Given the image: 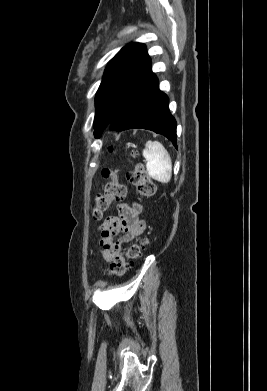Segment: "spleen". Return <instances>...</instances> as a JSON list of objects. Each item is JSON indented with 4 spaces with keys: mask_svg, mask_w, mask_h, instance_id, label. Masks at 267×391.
Segmentation results:
<instances>
[{
    "mask_svg": "<svg viewBox=\"0 0 267 391\" xmlns=\"http://www.w3.org/2000/svg\"><path fill=\"white\" fill-rule=\"evenodd\" d=\"M149 176L161 183H168L172 176V162L169 153L158 141H147L143 150Z\"/></svg>",
    "mask_w": 267,
    "mask_h": 391,
    "instance_id": "obj_1",
    "label": "spleen"
}]
</instances>
